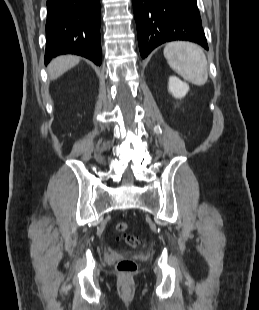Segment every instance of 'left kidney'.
I'll return each instance as SVG.
<instances>
[{"label":"left kidney","mask_w":259,"mask_h":310,"mask_svg":"<svg viewBox=\"0 0 259 310\" xmlns=\"http://www.w3.org/2000/svg\"><path fill=\"white\" fill-rule=\"evenodd\" d=\"M168 87L175 98H183L189 91V85L176 76L169 77Z\"/></svg>","instance_id":"left-kidney-1"}]
</instances>
